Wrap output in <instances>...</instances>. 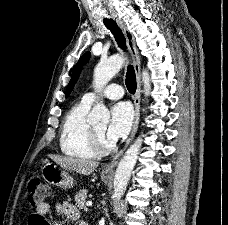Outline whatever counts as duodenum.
Returning a JSON list of instances; mask_svg holds the SVG:
<instances>
[{
    "label": "duodenum",
    "instance_id": "410a0bca",
    "mask_svg": "<svg viewBox=\"0 0 228 225\" xmlns=\"http://www.w3.org/2000/svg\"><path fill=\"white\" fill-rule=\"evenodd\" d=\"M81 225H86L85 223H82Z\"/></svg>",
    "mask_w": 228,
    "mask_h": 225
}]
</instances>
